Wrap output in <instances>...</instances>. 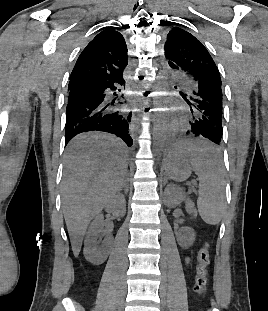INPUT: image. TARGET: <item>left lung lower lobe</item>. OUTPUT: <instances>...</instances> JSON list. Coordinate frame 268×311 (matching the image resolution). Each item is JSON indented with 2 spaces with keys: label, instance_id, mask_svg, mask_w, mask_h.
<instances>
[{
  "label": "left lung lower lobe",
  "instance_id": "obj_1",
  "mask_svg": "<svg viewBox=\"0 0 268 311\" xmlns=\"http://www.w3.org/2000/svg\"><path fill=\"white\" fill-rule=\"evenodd\" d=\"M191 85L190 101L186 99L191 109L182 132L176 133L177 141L207 140L219 147L223 141L221 84L201 75L196 82L191 81Z\"/></svg>",
  "mask_w": 268,
  "mask_h": 311
}]
</instances>
